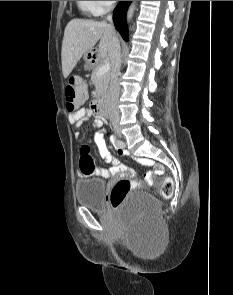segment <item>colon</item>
Here are the masks:
<instances>
[{"label": "colon", "instance_id": "5ec220e1", "mask_svg": "<svg viewBox=\"0 0 233 295\" xmlns=\"http://www.w3.org/2000/svg\"><path fill=\"white\" fill-rule=\"evenodd\" d=\"M87 89L85 83L79 77H71L65 87L66 108L70 113L76 111L77 107L85 101ZM79 168L82 174L91 175L94 172L95 165L89 154V148H82ZM138 183L128 179L119 180L112 188L110 194V204L117 208L120 206L129 193L137 187ZM173 193V183L171 179L165 178L160 185V195L163 198H169Z\"/></svg>", "mask_w": 233, "mask_h": 295}]
</instances>
